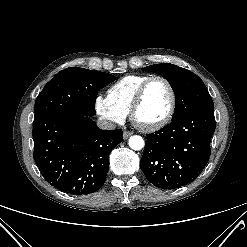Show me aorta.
Segmentation results:
<instances>
[{
  "label": "aorta",
  "instance_id": "762f6f07",
  "mask_svg": "<svg viewBox=\"0 0 247 247\" xmlns=\"http://www.w3.org/2000/svg\"><path fill=\"white\" fill-rule=\"evenodd\" d=\"M129 147L133 150H141L144 147V140L141 136H131L128 141Z\"/></svg>",
  "mask_w": 247,
  "mask_h": 247
}]
</instances>
